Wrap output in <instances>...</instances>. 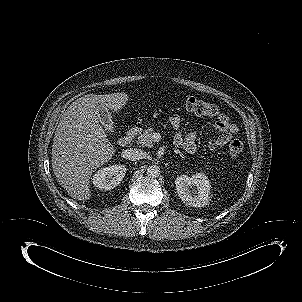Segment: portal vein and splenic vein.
Returning <instances> with one entry per match:
<instances>
[{"label": "portal vein and splenic vein", "instance_id": "obj_1", "mask_svg": "<svg viewBox=\"0 0 302 302\" xmlns=\"http://www.w3.org/2000/svg\"><path fill=\"white\" fill-rule=\"evenodd\" d=\"M159 137H160L159 134L155 133L154 135L151 136V139L152 140H157V139H159Z\"/></svg>", "mask_w": 302, "mask_h": 302}]
</instances>
